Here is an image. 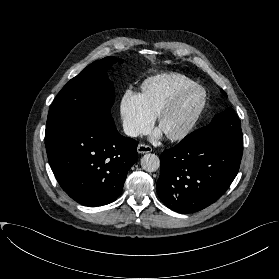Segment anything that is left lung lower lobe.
I'll use <instances>...</instances> for the list:
<instances>
[{
  "mask_svg": "<svg viewBox=\"0 0 279 279\" xmlns=\"http://www.w3.org/2000/svg\"><path fill=\"white\" fill-rule=\"evenodd\" d=\"M243 145L220 138H184L160 157L157 192L179 213L200 211L217 201L236 177Z\"/></svg>",
  "mask_w": 279,
  "mask_h": 279,
  "instance_id": "0a47b994",
  "label": "left lung lower lobe"
}]
</instances>
